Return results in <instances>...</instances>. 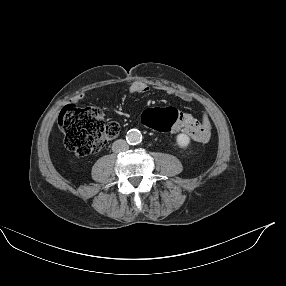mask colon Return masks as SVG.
Instances as JSON below:
<instances>
[{"instance_id": "colon-1", "label": "colon", "mask_w": 286, "mask_h": 286, "mask_svg": "<svg viewBox=\"0 0 286 286\" xmlns=\"http://www.w3.org/2000/svg\"><path fill=\"white\" fill-rule=\"evenodd\" d=\"M176 109L151 108L142 114L141 124L152 130L165 131L178 120ZM58 126L64 134V146L78 156L99 151L105 143L118 136L120 126L105 121L97 108H80L67 105L58 116Z\"/></svg>"}]
</instances>
